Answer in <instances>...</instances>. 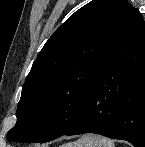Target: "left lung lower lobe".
I'll list each match as a JSON object with an SVG mask.
<instances>
[{
  "instance_id": "0a47b994",
  "label": "left lung lower lobe",
  "mask_w": 145,
  "mask_h": 147,
  "mask_svg": "<svg viewBox=\"0 0 145 147\" xmlns=\"http://www.w3.org/2000/svg\"><path fill=\"white\" fill-rule=\"evenodd\" d=\"M83 133L145 147V22L133 6L79 118L61 136Z\"/></svg>"
}]
</instances>
